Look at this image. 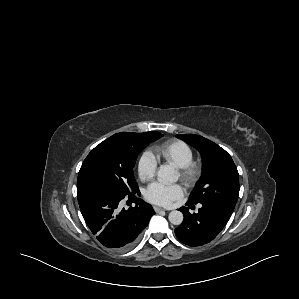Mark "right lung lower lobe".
Masks as SVG:
<instances>
[{
  "instance_id": "1",
  "label": "right lung lower lobe",
  "mask_w": 299,
  "mask_h": 299,
  "mask_svg": "<svg viewBox=\"0 0 299 299\" xmlns=\"http://www.w3.org/2000/svg\"><path fill=\"white\" fill-rule=\"evenodd\" d=\"M136 193L140 194L139 190L124 194L93 181L77 185L82 216L91 232L105 247L116 250L130 248L155 214L151 205L136 198ZM124 198H134L135 206L121 209Z\"/></svg>"
}]
</instances>
